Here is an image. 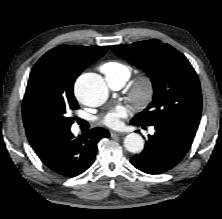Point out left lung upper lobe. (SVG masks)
Segmentation results:
<instances>
[{"instance_id": "5c2ea615", "label": "left lung upper lobe", "mask_w": 222, "mask_h": 219, "mask_svg": "<svg viewBox=\"0 0 222 219\" xmlns=\"http://www.w3.org/2000/svg\"><path fill=\"white\" fill-rule=\"evenodd\" d=\"M111 49L119 57L144 70L153 83V101L132 122L150 126L176 121L198 129L202 108L200 83L182 53L159 40L112 46Z\"/></svg>"}]
</instances>
